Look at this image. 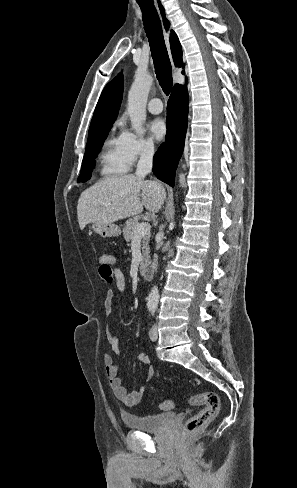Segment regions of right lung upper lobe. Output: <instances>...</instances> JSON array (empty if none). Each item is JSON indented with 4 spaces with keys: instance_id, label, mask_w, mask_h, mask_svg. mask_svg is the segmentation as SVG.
I'll return each mask as SVG.
<instances>
[{
    "instance_id": "cb5924a9",
    "label": "right lung upper lobe",
    "mask_w": 297,
    "mask_h": 488,
    "mask_svg": "<svg viewBox=\"0 0 297 488\" xmlns=\"http://www.w3.org/2000/svg\"><path fill=\"white\" fill-rule=\"evenodd\" d=\"M170 45L175 65L180 67L182 65V48L174 31H171ZM122 94L123 75L119 74L104 88L96 105L89 132L98 126L114 123L120 108Z\"/></svg>"
}]
</instances>
